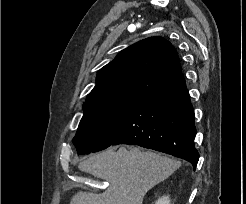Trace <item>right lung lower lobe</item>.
Wrapping results in <instances>:
<instances>
[{"instance_id":"right-lung-lower-lobe-1","label":"right lung lower lobe","mask_w":246,"mask_h":204,"mask_svg":"<svg viewBox=\"0 0 246 204\" xmlns=\"http://www.w3.org/2000/svg\"><path fill=\"white\" fill-rule=\"evenodd\" d=\"M194 111L182 74L137 97L111 145H139L196 168Z\"/></svg>"}]
</instances>
